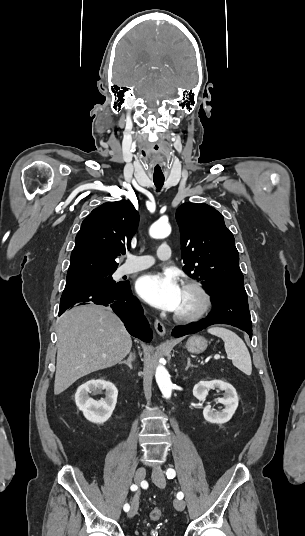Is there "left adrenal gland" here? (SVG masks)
<instances>
[{"label":"left adrenal gland","instance_id":"1","mask_svg":"<svg viewBox=\"0 0 305 536\" xmlns=\"http://www.w3.org/2000/svg\"><path fill=\"white\" fill-rule=\"evenodd\" d=\"M190 362H191L190 358H187V366H186L185 370H188V368H190V366H192V368H193V364H190Z\"/></svg>","mask_w":305,"mask_h":536}]
</instances>
